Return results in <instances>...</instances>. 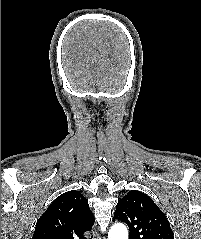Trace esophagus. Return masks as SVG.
Returning <instances> with one entry per match:
<instances>
[{
	"mask_svg": "<svg viewBox=\"0 0 201 239\" xmlns=\"http://www.w3.org/2000/svg\"><path fill=\"white\" fill-rule=\"evenodd\" d=\"M95 239H102L99 233H96V238Z\"/></svg>",
	"mask_w": 201,
	"mask_h": 239,
	"instance_id": "34e87169",
	"label": "esophagus"
}]
</instances>
